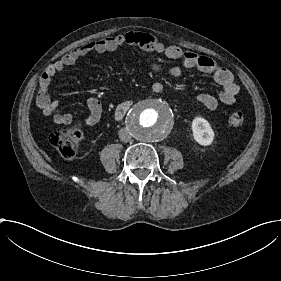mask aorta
<instances>
[{
	"label": "aorta",
	"instance_id": "obj_1",
	"mask_svg": "<svg viewBox=\"0 0 281 281\" xmlns=\"http://www.w3.org/2000/svg\"><path fill=\"white\" fill-rule=\"evenodd\" d=\"M128 131L143 142L163 140L173 128L172 110L163 102L147 99L136 103L126 118Z\"/></svg>",
	"mask_w": 281,
	"mask_h": 281
}]
</instances>
